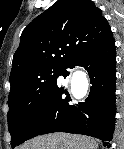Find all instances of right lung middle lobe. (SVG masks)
I'll use <instances>...</instances> for the list:
<instances>
[{
    "mask_svg": "<svg viewBox=\"0 0 124 149\" xmlns=\"http://www.w3.org/2000/svg\"><path fill=\"white\" fill-rule=\"evenodd\" d=\"M63 68H45L33 72L14 87L8 97V130L11 134V146L20 141L28 123L57 83Z\"/></svg>",
    "mask_w": 124,
    "mask_h": 149,
    "instance_id": "obj_1",
    "label": "right lung middle lobe"
}]
</instances>
